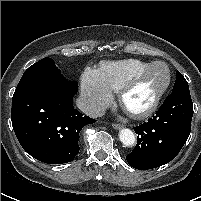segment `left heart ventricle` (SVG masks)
Listing matches in <instances>:
<instances>
[{"label":"left heart ventricle","instance_id":"b2bd125f","mask_svg":"<svg viewBox=\"0 0 201 201\" xmlns=\"http://www.w3.org/2000/svg\"><path fill=\"white\" fill-rule=\"evenodd\" d=\"M167 70L163 65L154 66L128 93L125 105L130 110H138L148 105L165 85Z\"/></svg>","mask_w":201,"mask_h":201}]
</instances>
